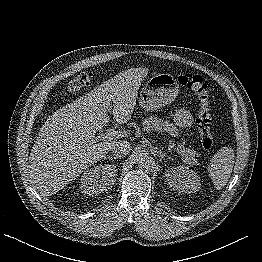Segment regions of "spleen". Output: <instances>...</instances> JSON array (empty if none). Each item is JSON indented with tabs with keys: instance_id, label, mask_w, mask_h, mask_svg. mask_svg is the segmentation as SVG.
Listing matches in <instances>:
<instances>
[{
	"instance_id": "1",
	"label": "spleen",
	"mask_w": 262,
	"mask_h": 262,
	"mask_svg": "<svg viewBox=\"0 0 262 262\" xmlns=\"http://www.w3.org/2000/svg\"><path fill=\"white\" fill-rule=\"evenodd\" d=\"M234 164V151L229 147H222L217 151L207 167L209 177L216 188H222L228 182Z\"/></svg>"
}]
</instances>
